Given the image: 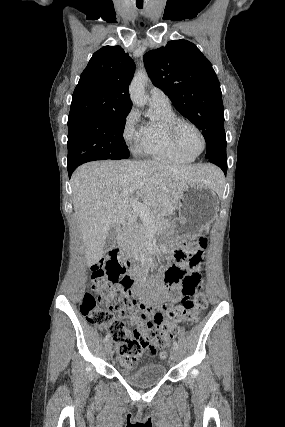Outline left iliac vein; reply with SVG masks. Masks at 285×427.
Wrapping results in <instances>:
<instances>
[{"label": "left iliac vein", "instance_id": "obj_1", "mask_svg": "<svg viewBox=\"0 0 285 427\" xmlns=\"http://www.w3.org/2000/svg\"><path fill=\"white\" fill-rule=\"evenodd\" d=\"M178 355H179L178 349L173 346L170 350L171 359L173 361H176L178 359Z\"/></svg>", "mask_w": 285, "mask_h": 427}]
</instances>
